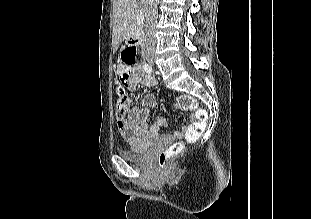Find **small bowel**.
Here are the masks:
<instances>
[{
  "mask_svg": "<svg viewBox=\"0 0 311 219\" xmlns=\"http://www.w3.org/2000/svg\"><path fill=\"white\" fill-rule=\"evenodd\" d=\"M115 69L120 76H126L130 91H134L139 83L147 86L155 84L154 78L144 74L138 66H127L117 63ZM155 105V96L146 94L141 98V106H134L130 109L126 120L117 121V129L128 143L134 144L152 140L159 135L162 128L167 126V120L161 116L156 117L151 125H147L149 108Z\"/></svg>",
  "mask_w": 311,
  "mask_h": 219,
  "instance_id": "obj_1",
  "label": "small bowel"
}]
</instances>
